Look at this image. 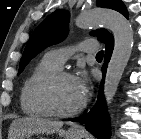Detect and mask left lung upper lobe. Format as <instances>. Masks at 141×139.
<instances>
[{"label":"left lung upper lobe","instance_id":"left-lung-upper-lobe-1","mask_svg":"<svg viewBox=\"0 0 141 139\" xmlns=\"http://www.w3.org/2000/svg\"><path fill=\"white\" fill-rule=\"evenodd\" d=\"M97 6L110 8L129 18L128 11L121 0H97ZM69 13L66 10H56L50 14L31 35L20 61L19 73L39 52L48 46L61 42L68 33ZM98 40L105 43L112 35L105 29L91 32Z\"/></svg>","mask_w":141,"mask_h":139}]
</instances>
